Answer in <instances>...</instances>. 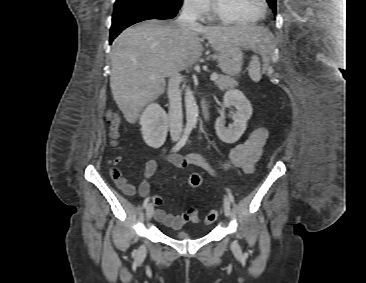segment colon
Returning a JSON list of instances; mask_svg holds the SVG:
<instances>
[{
  "mask_svg": "<svg viewBox=\"0 0 366 283\" xmlns=\"http://www.w3.org/2000/svg\"><path fill=\"white\" fill-rule=\"evenodd\" d=\"M107 123L110 128V134L114 141H117L119 138V117L114 114L110 113L107 117ZM188 184L192 188L200 187L202 184V176L198 173H193L188 177ZM218 217V211L217 210H211L209 211L205 217L203 218V222L205 224H211L215 222V220ZM185 218L187 220H191L194 223H199L201 221L200 215L195 210H189L185 214Z\"/></svg>",
  "mask_w": 366,
  "mask_h": 283,
  "instance_id": "colon-1",
  "label": "colon"
}]
</instances>
